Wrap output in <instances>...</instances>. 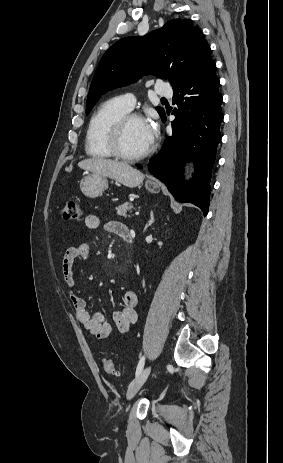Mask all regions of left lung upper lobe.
I'll list each match as a JSON object with an SVG mask.
<instances>
[{
	"label": "left lung upper lobe",
	"mask_w": 283,
	"mask_h": 463,
	"mask_svg": "<svg viewBox=\"0 0 283 463\" xmlns=\"http://www.w3.org/2000/svg\"><path fill=\"white\" fill-rule=\"evenodd\" d=\"M211 49L191 20L173 19L143 37H126L102 56L87 97L86 114L107 91L137 81L145 74L186 82L212 62ZM163 119V108L157 107Z\"/></svg>",
	"instance_id": "left-lung-upper-lobe-1"
}]
</instances>
